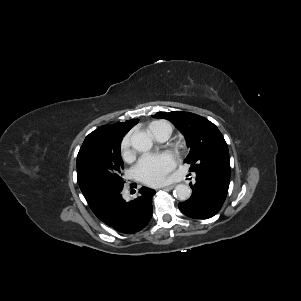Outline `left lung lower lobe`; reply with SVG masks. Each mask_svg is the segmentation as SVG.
<instances>
[{"label": "left lung lower lobe", "instance_id": "obj_1", "mask_svg": "<svg viewBox=\"0 0 301 301\" xmlns=\"http://www.w3.org/2000/svg\"><path fill=\"white\" fill-rule=\"evenodd\" d=\"M230 178L210 172H196L191 197L178 204L186 216L194 219H208L221 209L229 188Z\"/></svg>", "mask_w": 301, "mask_h": 301}]
</instances>
